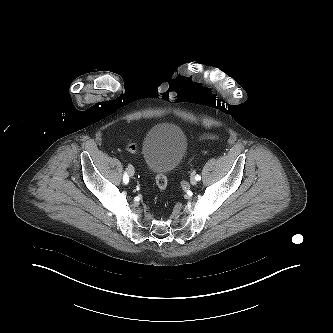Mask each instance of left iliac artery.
Here are the masks:
<instances>
[{
	"instance_id": "left-iliac-artery-1",
	"label": "left iliac artery",
	"mask_w": 333,
	"mask_h": 333,
	"mask_svg": "<svg viewBox=\"0 0 333 333\" xmlns=\"http://www.w3.org/2000/svg\"><path fill=\"white\" fill-rule=\"evenodd\" d=\"M195 178H196L197 181H200V180H201V176L198 175V174L195 176Z\"/></svg>"
}]
</instances>
